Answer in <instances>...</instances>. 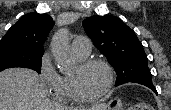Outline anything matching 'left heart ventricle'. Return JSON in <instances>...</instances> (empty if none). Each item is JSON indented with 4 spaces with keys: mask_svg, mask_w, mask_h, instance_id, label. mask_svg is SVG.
Here are the masks:
<instances>
[{
    "mask_svg": "<svg viewBox=\"0 0 171 110\" xmlns=\"http://www.w3.org/2000/svg\"><path fill=\"white\" fill-rule=\"evenodd\" d=\"M70 77L76 81L80 91L87 96L101 93L108 82V73L101 65H93L82 71L77 66Z\"/></svg>",
    "mask_w": 171,
    "mask_h": 110,
    "instance_id": "b2bd125f",
    "label": "left heart ventricle"
}]
</instances>
